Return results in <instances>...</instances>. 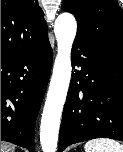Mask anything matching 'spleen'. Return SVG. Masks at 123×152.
<instances>
[{
	"instance_id": "1",
	"label": "spleen",
	"mask_w": 123,
	"mask_h": 152,
	"mask_svg": "<svg viewBox=\"0 0 123 152\" xmlns=\"http://www.w3.org/2000/svg\"><path fill=\"white\" fill-rule=\"evenodd\" d=\"M85 152H123V145L111 139H94L84 146Z\"/></svg>"
}]
</instances>
